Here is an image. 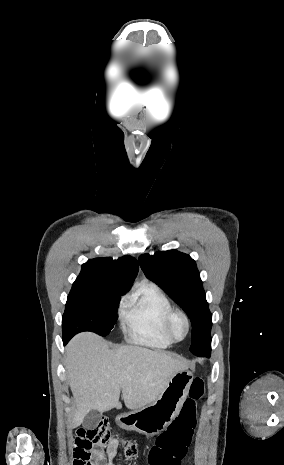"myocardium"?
Listing matches in <instances>:
<instances>
[{
	"label": "myocardium",
	"instance_id": "f54148a6",
	"mask_svg": "<svg viewBox=\"0 0 284 465\" xmlns=\"http://www.w3.org/2000/svg\"><path fill=\"white\" fill-rule=\"evenodd\" d=\"M180 315L184 322H185V325H186V336L179 340L177 338H175L172 334V331H171V325H172V322L174 320V318L176 316ZM190 331H191V322H190V318L189 316L187 315V313L181 309H172L171 311L168 312V314L166 315L165 319H164V323H163V332L165 334V336L172 342V343H181L183 341H185L189 335H190Z\"/></svg>",
	"mask_w": 284,
	"mask_h": 465
}]
</instances>
